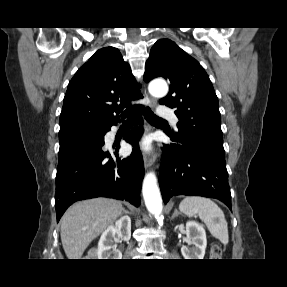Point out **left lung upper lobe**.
<instances>
[{"instance_id": "left-lung-upper-lobe-1", "label": "left lung upper lobe", "mask_w": 287, "mask_h": 287, "mask_svg": "<svg viewBox=\"0 0 287 287\" xmlns=\"http://www.w3.org/2000/svg\"><path fill=\"white\" fill-rule=\"evenodd\" d=\"M163 77L170 91L159 103L175 109L177 141L203 145L225 155L218 98L208 74L197 60L169 39L158 40L145 66L144 80Z\"/></svg>"}]
</instances>
